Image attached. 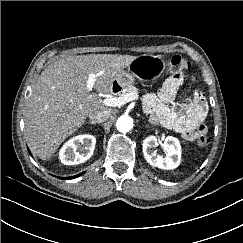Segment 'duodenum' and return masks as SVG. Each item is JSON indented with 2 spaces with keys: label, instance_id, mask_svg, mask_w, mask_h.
<instances>
[{
  "label": "duodenum",
  "instance_id": "duodenum-1",
  "mask_svg": "<svg viewBox=\"0 0 243 243\" xmlns=\"http://www.w3.org/2000/svg\"><path fill=\"white\" fill-rule=\"evenodd\" d=\"M120 91V87L118 85H113L112 87V93L116 94Z\"/></svg>",
  "mask_w": 243,
  "mask_h": 243
}]
</instances>
